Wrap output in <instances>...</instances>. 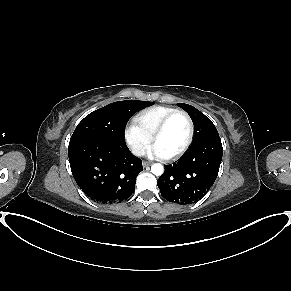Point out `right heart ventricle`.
I'll return each mask as SVG.
<instances>
[{"mask_svg": "<svg viewBox=\"0 0 291 291\" xmlns=\"http://www.w3.org/2000/svg\"><path fill=\"white\" fill-rule=\"evenodd\" d=\"M175 110L177 109L168 106H155L138 113L134 121L144 132L152 137L161 121Z\"/></svg>", "mask_w": 291, "mask_h": 291, "instance_id": "1", "label": "right heart ventricle"}]
</instances>
